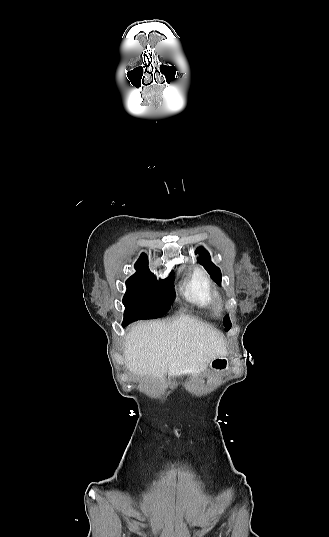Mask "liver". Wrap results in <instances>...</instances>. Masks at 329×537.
Wrapping results in <instances>:
<instances>
[{
	"label": "liver",
	"instance_id": "obj_1",
	"mask_svg": "<svg viewBox=\"0 0 329 537\" xmlns=\"http://www.w3.org/2000/svg\"><path fill=\"white\" fill-rule=\"evenodd\" d=\"M127 369L136 375L164 379L197 375L227 354L223 335L195 318L142 322L128 329L123 351Z\"/></svg>",
	"mask_w": 329,
	"mask_h": 537
}]
</instances>
